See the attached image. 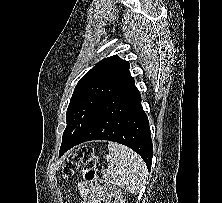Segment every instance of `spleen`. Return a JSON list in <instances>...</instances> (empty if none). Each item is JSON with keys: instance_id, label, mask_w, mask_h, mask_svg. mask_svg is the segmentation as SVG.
Masks as SVG:
<instances>
[{"instance_id": "spleen-1", "label": "spleen", "mask_w": 222, "mask_h": 203, "mask_svg": "<svg viewBox=\"0 0 222 203\" xmlns=\"http://www.w3.org/2000/svg\"><path fill=\"white\" fill-rule=\"evenodd\" d=\"M108 150L106 160L109 167L103 171V178L111 180L113 184L130 193L141 190L148 175L142 158L130 148L115 142L108 144Z\"/></svg>"}]
</instances>
